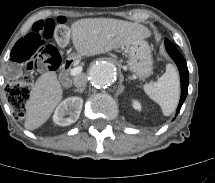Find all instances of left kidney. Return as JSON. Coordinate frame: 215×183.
<instances>
[{"instance_id":"obj_1","label":"left kidney","mask_w":215,"mask_h":183,"mask_svg":"<svg viewBox=\"0 0 215 183\" xmlns=\"http://www.w3.org/2000/svg\"><path fill=\"white\" fill-rule=\"evenodd\" d=\"M132 105H133V108L138 110V111H140L142 109L141 104L136 100L133 101Z\"/></svg>"}]
</instances>
